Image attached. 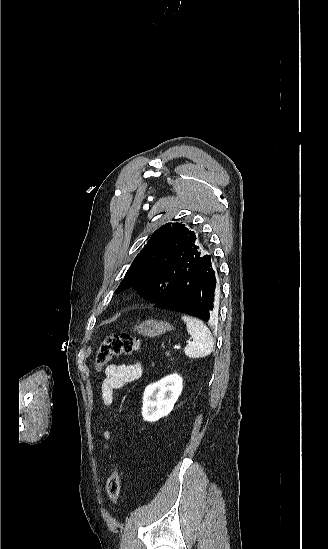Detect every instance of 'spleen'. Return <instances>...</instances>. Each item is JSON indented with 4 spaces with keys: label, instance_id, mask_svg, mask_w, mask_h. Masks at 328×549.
<instances>
[{
    "label": "spleen",
    "instance_id": "3e777b00",
    "mask_svg": "<svg viewBox=\"0 0 328 549\" xmlns=\"http://www.w3.org/2000/svg\"><path fill=\"white\" fill-rule=\"evenodd\" d=\"M182 321L186 323L187 333L193 337L192 343H188L185 347V355L189 359H200V357H208L213 351V337L206 325L195 319V317H188V315H182Z\"/></svg>",
    "mask_w": 328,
    "mask_h": 549
}]
</instances>
